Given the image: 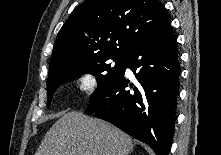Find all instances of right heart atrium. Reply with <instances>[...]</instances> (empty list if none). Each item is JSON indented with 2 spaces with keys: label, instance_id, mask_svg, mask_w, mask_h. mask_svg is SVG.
<instances>
[{
  "label": "right heart atrium",
  "instance_id": "right-heart-atrium-1",
  "mask_svg": "<svg viewBox=\"0 0 221 155\" xmlns=\"http://www.w3.org/2000/svg\"><path fill=\"white\" fill-rule=\"evenodd\" d=\"M77 88L83 93H91L95 90L97 81L93 74L82 73L76 80Z\"/></svg>",
  "mask_w": 221,
  "mask_h": 155
}]
</instances>
